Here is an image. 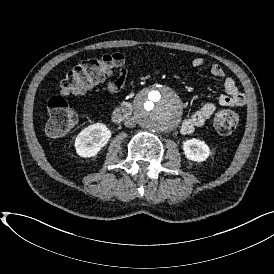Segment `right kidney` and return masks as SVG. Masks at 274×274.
Masks as SVG:
<instances>
[{"label":"right kidney","mask_w":274,"mask_h":274,"mask_svg":"<svg viewBox=\"0 0 274 274\" xmlns=\"http://www.w3.org/2000/svg\"><path fill=\"white\" fill-rule=\"evenodd\" d=\"M111 131L103 123H94L84 128L75 139V149L79 156L89 158L107 145Z\"/></svg>","instance_id":"right-kidney-1"}]
</instances>
